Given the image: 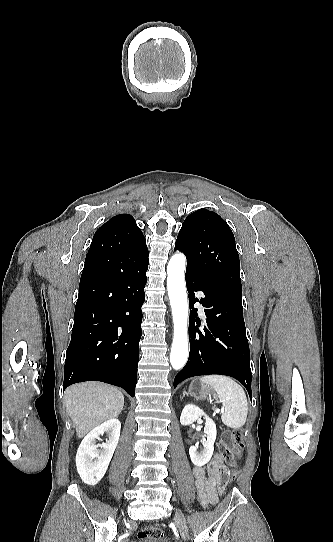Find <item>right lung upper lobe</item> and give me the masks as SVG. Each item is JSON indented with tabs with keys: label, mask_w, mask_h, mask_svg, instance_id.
Wrapping results in <instances>:
<instances>
[{
	"label": "right lung upper lobe",
	"mask_w": 333,
	"mask_h": 542,
	"mask_svg": "<svg viewBox=\"0 0 333 542\" xmlns=\"http://www.w3.org/2000/svg\"><path fill=\"white\" fill-rule=\"evenodd\" d=\"M145 243V237L134 218L129 214H120L112 217L96 231L88 252L101 253Z\"/></svg>",
	"instance_id": "cb5924a9"
}]
</instances>
